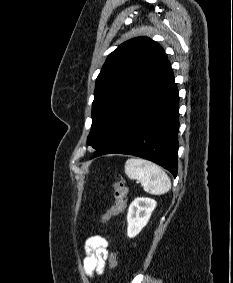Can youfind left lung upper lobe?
<instances>
[{"instance_id": "1", "label": "left lung upper lobe", "mask_w": 233, "mask_h": 283, "mask_svg": "<svg viewBox=\"0 0 233 283\" xmlns=\"http://www.w3.org/2000/svg\"><path fill=\"white\" fill-rule=\"evenodd\" d=\"M166 60L162 47L147 37L128 40L109 54L96 79L88 145L97 151L106 142Z\"/></svg>"}]
</instances>
